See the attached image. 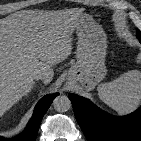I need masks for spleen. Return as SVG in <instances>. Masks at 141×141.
Wrapping results in <instances>:
<instances>
[{"label": "spleen", "mask_w": 141, "mask_h": 141, "mask_svg": "<svg viewBox=\"0 0 141 141\" xmlns=\"http://www.w3.org/2000/svg\"><path fill=\"white\" fill-rule=\"evenodd\" d=\"M98 94L115 111L131 112L141 101V72L131 70L111 82L101 83Z\"/></svg>", "instance_id": "spleen-1"}]
</instances>
